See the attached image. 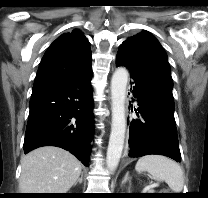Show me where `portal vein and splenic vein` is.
<instances>
[{"mask_svg":"<svg viewBox=\"0 0 208 198\" xmlns=\"http://www.w3.org/2000/svg\"><path fill=\"white\" fill-rule=\"evenodd\" d=\"M152 187V185H148L145 187V190H149Z\"/></svg>","mask_w":208,"mask_h":198,"instance_id":"18ae733b","label":"portal vein and splenic vein"}]
</instances>
